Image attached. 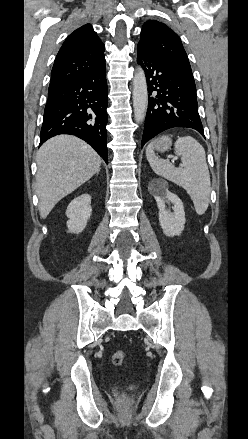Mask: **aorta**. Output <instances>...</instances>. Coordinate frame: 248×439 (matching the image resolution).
<instances>
[{
	"label": "aorta",
	"instance_id": "762f6f07",
	"mask_svg": "<svg viewBox=\"0 0 248 439\" xmlns=\"http://www.w3.org/2000/svg\"><path fill=\"white\" fill-rule=\"evenodd\" d=\"M132 85L134 117L136 122L140 123L145 119L148 107L146 77L141 67L137 68Z\"/></svg>",
	"mask_w": 248,
	"mask_h": 439
}]
</instances>
